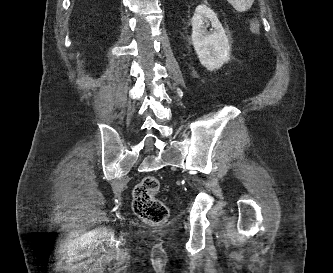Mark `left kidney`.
Segmentation results:
<instances>
[{"label":"left kidney","mask_w":333,"mask_h":273,"mask_svg":"<svg viewBox=\"0 0 333 273\" xmlns=\"http://www.w3.org/2000/svg\"><path fill=\"white\" fill-rule=\"evenodd\" d=\"M191 24L192 43L200 63L209 71L227 63L230 59V44L215 13L205 4L198 5ZM210 24L212 29L208 32Z\"/></svg>","instance_id":"1"}]
</instances>
